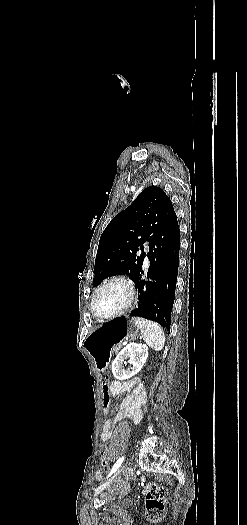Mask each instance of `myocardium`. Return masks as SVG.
<instances>
[{
	"label": "myocardium",
	"instance_id": "1",
	"mask_svg": "<svg viewBox=\"0 0 247 525\" xmlns=\"http://www.w3.org/2000/svg\"><path fill=\"white\" fill-rule=\"evenodd\" d=\"M112 283H119V284L124 285L128 289V298L125 301V303L123 305H121L119 308H117V309H115L113 311H110V312L101 313V312L97 311L96 308H95L96 296H97L98 292L105 285L112 284ZM134 296H135V286H134V283L131 280V278H129L128 276L123 275V274H115V275H112V276L104 279L103 281H101L97 285V287H96V289L93 292L92 297H91L90 309H91V312H92L93 316L96 317L97 319L113 318V317H115L117 315H121L122 313H124L131 306V304L133 302V299H134Z\"/></svg>",
	"mask_w": 247,
	"mask_h": 525
}]
</instances>
